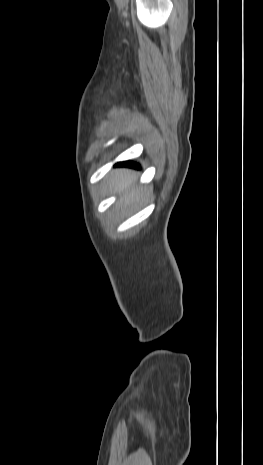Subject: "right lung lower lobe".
I'll return each mask as SVG.
<instances>
[{"instance_id": "1", "label": "right lung lower lobe", "mask_w": 263, "mask_h": 465, "mask_svg": "<svg viewBox=\"0 0 263 465\" xmlns=\"http://www.w3.org/2000/svg\"><path fill=\"white\" fill-rule=\"evenodd\" d=\"M118 165H125V166H132V167H136V166H137L134 162H130V161L118 163Z\"/></svg>"}]
</instances>
